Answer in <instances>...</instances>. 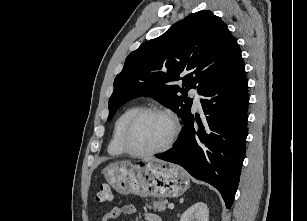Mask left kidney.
Here are the masks:
<instances>
[{"instance_id": "left-kidney-1", "label": "left kidney", "mask_w": 307, "mask_h": 221, "mask_svg": "<svg viewBox=\"0 0 307 221\" xmlns=\"http://www.w3.org/2000/svg\"><path fill=\"white\" fill-rule=\"evenodd\" d=\"M180 221H209L207 205L203 202L195 203L182 214Z\"/></svg>"}]
</instances>
